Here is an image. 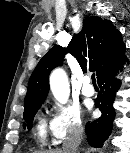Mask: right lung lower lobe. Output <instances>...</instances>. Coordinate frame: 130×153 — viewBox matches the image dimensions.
<instances>
[{"mask_svg":"<svg viewBox=\"0 0 130 153\" xmlns=\"http://www.w3.org/2000/svg\"><path fill=\"white\" fill-rule=\"evenodd\" d=\"M125 61L128 60L124 56L98 77L101 91L96 98L95 105L100 109L102 115L97 120L88 122L85 127L88 143L93 147H101L111 133L112 122L115 117L113 101L120 86V80L114 79V76L119 72V69H122V63Z\"/></svg>","mask_w":130,"mask_h":153,"instance_id":"obj_1","label":"right lung lower lobe"}]
</instances>
